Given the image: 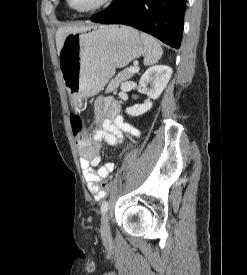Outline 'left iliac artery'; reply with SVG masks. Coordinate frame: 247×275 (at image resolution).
<instances>
[{"label":"left iliac artery","mask_w":247,"mask_h":275,"mask_svg":"<svg viewBox=\"0 0 247 275\" xmlns=\"http://www.w3.org/2000/svg\"><path fill=\"white\" fill-rule=\"evenodd\" d=\"M109 203L108 201H104L101 205V212L102 214H105L108 211Z\"/></svg>","instance_id":"1"}]
</instances>
